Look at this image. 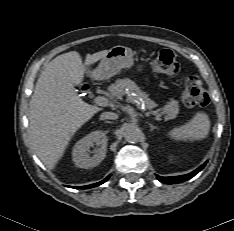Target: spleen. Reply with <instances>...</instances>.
<instances>
[{
    "label": "spleen",
    "instance_id": "spleen-1",
    "mask_svg": "<svg viewBox=\"0 0 234 231\" xmlns=\"http://www.w3.org/2000/svg\"><path fill=\"white\" fill-rule=\"evenodd\" d=\"M209 130V116L204 112H197L187 123L172 129L168 136L176 141L202 140L206 138Z\"/></svg>",
    "mask_w": 234,
    "mask_h": 231
}]
</instances>
